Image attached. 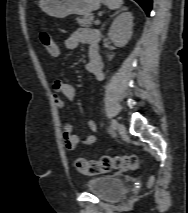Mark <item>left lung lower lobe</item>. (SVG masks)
<instances>
[{
	"mask_svg": "<svg viewBox=\"0 0 188 213\" xmlns=\"http://www.w3.org/2000/svg\"><path fill=\"white\" fill-rule=\"evenodd\" d=\"M145 10L147 15L150 14L152 8V0H135Z\"/></svg>",
	"mask_w": 188,
	"mask_h": 213,
	"instance_id": "0a47b994",
	"label": "left lung lower lobe"
}]
</instances>
